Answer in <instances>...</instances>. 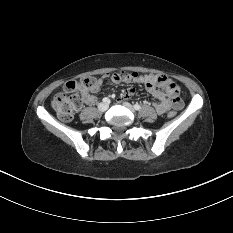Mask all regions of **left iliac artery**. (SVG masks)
<instances>
[{
    "mask_svg": "<svg viewBox=\"0 0 233 233\" xmlns=\"http://www.w3.org/2000/svg\"><path fill=\"white\" fill-rule=\"evenodd\" d=\"M134 109L135 110H140L141 109V106L139 104H134Z\"/></svg>",
    "mask_w": 233,
    "mask_h": 233,
    "instance_id": "left-iliac-artery-1",
    "label": "left iliac artery"
}]
</instances>
